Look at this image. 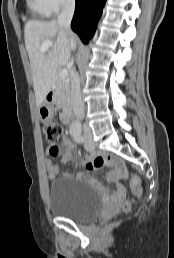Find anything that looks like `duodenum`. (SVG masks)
Returning <instances> with one entry per match:
<instances>
[{
    "instance_id": "1",
    "label": "duodenum",
    "mask_w": 174,
    "mask_h": 258,
    "mask_svg": "<svg viewBox=\"0 0 174 258\" xmlns=\"http://www.w3.org/2000/svg\"><path fill=\"white\" fill-rule=\"evenodd\" d=\"M53 96H54V91H49L47 93V100L50 104L53 103ZM62 121L66 125L71 122V111H70L69 106H67V105H65L63 108Z\"/></svg>"
}]
</instances>
